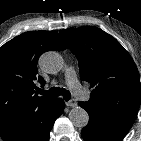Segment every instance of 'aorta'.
Segmentation results:
<instances>
[{
  "mask_svg": "<svg viewBox=\"0 0 141 141\" xmlns=\"http://www.w3.org/2000/svg\"><path fill=\"white\" fill-rule=\"evenodd\" d=\"M39 64L41 69L46 73L55 74L62 69L63 59L57 52L49 51L41 55ZM69 119L75 127L82 129L87 126L89 115L85 109L77 106L70 110Z\"/></svg>",
  "mask_w": 141,
  "mask_h": 141,
  "instance_id": "obj_1",
  "label": "aorta"
}]
</instances>
